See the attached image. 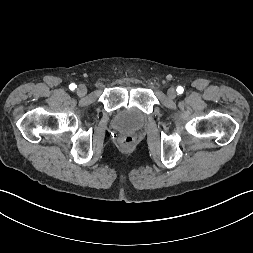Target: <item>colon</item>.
Here are the masks:
<instances>
[{"label": "colon", "instance_id": "obj_1", "mask_svg": "<svg viewBox=\"0 0 253 253\" xmlns=\"http://www.w3.org/2000/svg\"><path fill=\"white\" fill-rule=\"evenodd\" d=\"M133 142H134V139L131 136H127V137L123 138V140H122L123 145L126 147L131 146L133 144Z\"/></svg>", "mask_w": 253, "mask_h": 253}]
</instances>
